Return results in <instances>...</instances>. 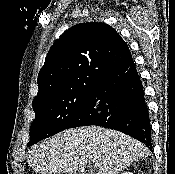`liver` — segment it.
I'll return each instance as SVG.
<instances>
[{
    "label": "liver",
    "instance_id": "obj_1",
    "mask_svg": "<svg viewBox=\"0 0 175 174\" xmlns=\"http://www.w3.org/2000/svg\"><path fill=\"white\" fill-rule=\"evenodd\" d=\"M148 153L146 146L122 132L83 126L34 145L28 164L39 174H84L87 163L94 164L96 174H117Z\"/></svg>",
    "mask_w": 175,
    "mask_h": 174
}]
</instances>
